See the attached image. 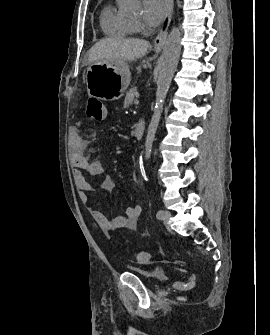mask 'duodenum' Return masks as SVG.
Segmentation results:
<instances>
[{
  "label": "duodenum",
  "mask_w": 270,
  "mask_h": 335,
  "mask_svg": "<svg viewBox=\"0 0 270 335\" xmlns=\"http://www.w3.org/2000/svg\"><path fill=\"white\" fill-rule=\"evenodd\" d=\"M145 132V123L143 121H138L134 128V136L137 139H141Z\"/></svg>",
  "instance_id": "duodenum-1"
}]
</instances>
